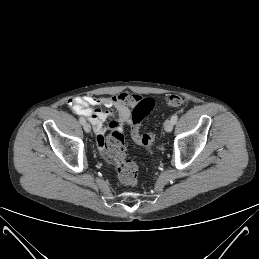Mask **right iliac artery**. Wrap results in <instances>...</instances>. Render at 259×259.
Wrapping results in <instances>:
<instances>
[{"instance_id":"1","label":"right iliac artery","mask_w":259,"mask_h":259,"mask_svg":"<svg viewBox=\"0 0 259 259\" xmlns=\"http://www.w3.org/2000/svg\"><path fill=\"white\" fill-rule=\"evenodd\" d=\"M79 122H80L81 124H84V123L86 122V120H85L83 117H80V118H79Z\"/></svg>"}]
</instances>
